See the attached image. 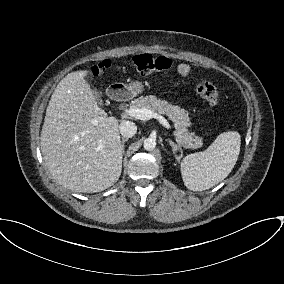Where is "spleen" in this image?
<instances>
[{
  "label": "spleen",
  "mask_w": 284,
  "mask_h": 284,
  "mask_svg": "<svg viewBox=\"0 0 284 284\" xmlns=\"http://www.w3.org/2000/svg\"><path fill=\"white\" fill-rule=\"evenodd\" d=\"M240 145V134L228 131L220 134L205 151L185 156L181 162L185 186L203 191L224 180L237 162Z\"/></svg>",
  "instance_id": "3e777b00"
}]
</instances>
